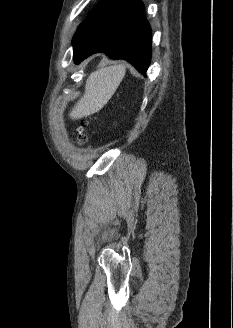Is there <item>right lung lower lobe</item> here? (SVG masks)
Listing matches in <instances>:
<instances>
[{
  "mask_svg": "<svg viewBox=\"0 0 233 328\" xmlns=\"http://www.w3.org/2000/svg\"><path fill=\"white\" fill-rule=\"evenodd\" d=\"M74 61L97 52L124 59L146 75L151 60V28L137 0H101L73 39Z\"/></svg>",
  "mask_w": 233,
  "mask_h": 328,
  "instance_id": "right-lung-lower-lobe-1",
  "label": "right lung lower lobe"
}]
</instances>
